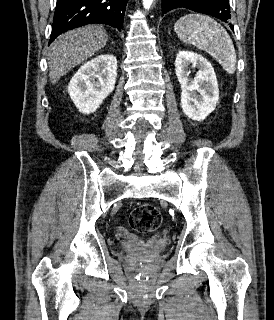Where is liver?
<instances>
[{"label": "liver", "instance_id": "liver-1", "mask_svg": "<svg viewBox=\"0 0 274 320\" xmlns=\"http://www.w3.org/2000/svg\"><path fill=\"white\" fill-rule=\"evenodd\" d=\"M107 42V32L99 24L77 28L59 36L51 44L47 58L51 84H56L69 70L92 58Z\"/></svg>", "mask_w": 274, "mask_h": 320}]
</instances>
